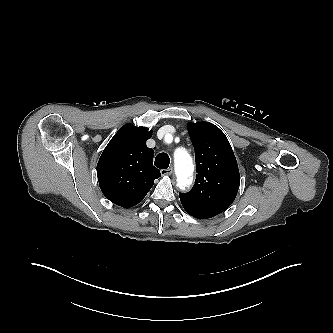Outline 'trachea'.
Instances as JSON below:
<instances>
[{"label":"trachea","mask_w":333,"mask_h":333,"mask_svg":"<svg viewBox=\"0 0 333 333\" xmlns=\"http://www.w3.org/2000/svg\"><path fill=\"white\" fill-rule=\"evenodd\" d=\"M155 166L160 169H167L170 164V158L167 153H159L154 162Z\"/></svg>","instance_id":"obj_1"}]
</instances>
